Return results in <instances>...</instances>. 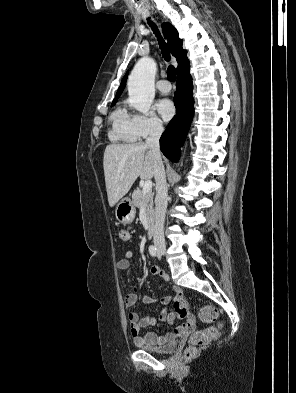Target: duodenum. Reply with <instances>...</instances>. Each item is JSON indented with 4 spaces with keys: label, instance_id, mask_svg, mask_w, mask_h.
Returning <instances> with one entry per match:
<instances>
[{
    "label": "duodenum",
    "instance_id": "1",
    "mask_svg": "<svg viewBox=\"0 0 296 393\" xmlns=\"http://www.w3.org/2000/svg\"><path fill=\"white\" fill-rule=\"evenodd\" d=\"M154 233H155V228H154V226H150V228H149V234H150L151 236H153Z\"/></svg>",
    "mask_w": 296,
    "mask_h": 393
}]
</instances>
